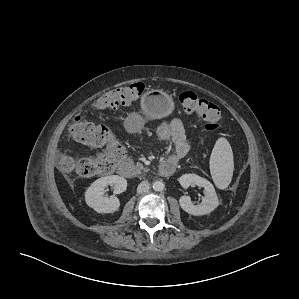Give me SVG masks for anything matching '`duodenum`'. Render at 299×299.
Here are the masks:
<instances>
[{"mask_svg":"<svg viewBox=\"0 0 299 299\" xmlns=\"http://www.w3.org/2000/svg\"><path fill=\"white\" fill-rule=\"evenodd\" d=\"M175 169H176V163L171 160H164L159 165V173L162 176L172 175L174 173ZM118 172L121 176L133 177L134 176V167L130 161H124L119 165Z\"/></svg>","mask_w":299,"mask_h":299,"instance_id":"obj_1","label":"duodenum"}]
</instances>
